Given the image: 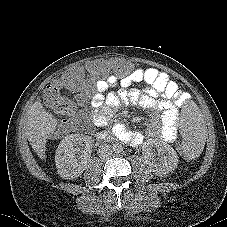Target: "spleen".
<instances>
[{"instance_id": "1", "label": "spleen", "mask_w": 227, "mask_h": 227, "mask_svg": "<svg viewBox=\"0 0 227 227\" xmlns=\"http://www.w3.org/2000/svg\"><path fill=\"white\" fill-rule=\"evenodd\" d=\"M181 118L180 137L183 149L192 156L201 155L206 149L203 119L199 105L193 100L184 101L179 107Z\"/></svg>"}]
</instances>
